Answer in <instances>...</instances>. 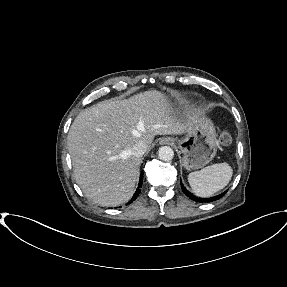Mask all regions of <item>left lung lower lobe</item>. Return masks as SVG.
<instances>
[{
    "instance_id": "left-lung-lower-lobe-1",
    "label": "left lung lower lobe",
    "mask_w": 287,
    "mask_h": 287,
    "mask_svg": "<svg viewBox=\"0 0 287 287\" xmlns=\"http://www.w3.org/2000/svg\"><path fill=\"white\" fill-rule=\"evenodd\" d=\"M181 187H182V190L183 192L187 195V197H189L190 199L194 200L195 202H213V201H216L220 198H222L224 196V193L220 194V195H217L215 197H210V198H199V197H196L195 195H193L192 193H190L184 186L183 184L181 183Z\"/></svg>"
}]
</instances>
